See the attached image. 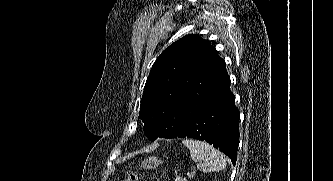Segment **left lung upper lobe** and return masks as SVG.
Here are the masks:
<instances>
[{"mask_svg": "<svg viewBox=\"0 0 333 181\" xmlns=\"http://www.w3.org/2000/svg\"><path fill=\"white\" fill-rule=\"evenodd\" d=\"M227 75L226 64L208 40L189 34L166 48L153 64L139 118L150 140L173 135V121L199 110Z\"/></svg>", "mask_w": 333, "mask_h": 181, "instance_id": "5c2ea615", "label": "left lung upper lobe"}]
</instances>
